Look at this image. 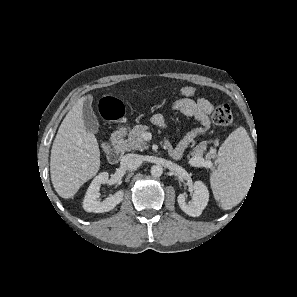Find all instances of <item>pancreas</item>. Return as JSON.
Returning a JSON list of instances; mask_svg holds the SVG:
<instances>
[{
  "mask_svg": "<svg viewBox=\"0 0 297 297\" xmlns=\"http://www.w3.org/2000/svg\"><path fill=\"white\" fill-rule=\"evenodd\" d=\"M149 130L146 125H136L128 134V139L125 140L124 146L126 149L146 150L149 148L147 142L143 138V134ZM202 148H195L192 156H198L202 153Z\"/></svg>",
  "mask_w": 297,
  "mask_h": 297,
  "instance_id": "obj_1",
  "label": "pancreas"
}]
</instances>
